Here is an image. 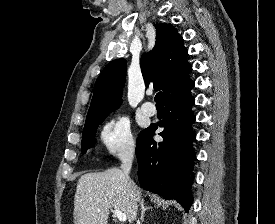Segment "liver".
<instances>
[{
	"mask_svg": "<svg viewBox=\"0 0 275 224\" xmlns=\"http://www.w3.org/2000/svg\"><path fill=\"white\" fill-rule=\"evenodd\" d=\"M141 190L122 170L87 173L78 180L74 198V224H107L109 209L124 213L130 224L136 219Z\"/></svg>",
	"mask_w": 275,
	"mask_h": 224,
	"instance_id": "6515ba94",
	"label": "liver"
}]
</instances>
